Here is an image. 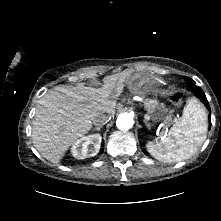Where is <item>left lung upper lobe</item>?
<instances>
[{
	"mask_svg": "<svg viewBox=\"0 0 221 221\" xmlns=\"http://www.w3.org/2000/svg\"><path fill=\"white\" fill-rule=\"evenodd\" d=\"M184 79L188 82V84H195V82L189 77H184Z\"/></svg>",
	"mask_w": 221,
	"mask_h": 221,
	"instance_id": "obj_1",
	"label": "left lung upper lobe"
}]
</instances>
